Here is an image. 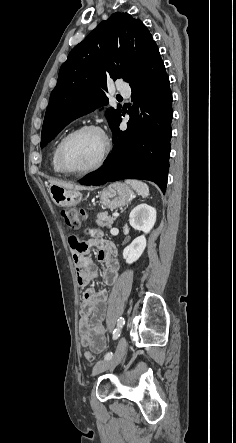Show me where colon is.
Returning <instances> with one entry per match:
<instances>
[{
  "mask_svg": "<svg viewBox=\"0 0 236 443\" xmlns=\"http://www.w3.org/2000/svg\"><path fill=\"white\" fill-rule=\"evenodd\" d=\"M66 225L72 229H79L85 222L86 214L83 210L67 209L61 212ZM84 357L88 362L93 361L94 355L91 351H86Z\"/></svg>",
  "mask_w": 236,
  "mask_h": 443,
  "instance_id": "colon-1",
  "label": "colon"
}]
</instances>
